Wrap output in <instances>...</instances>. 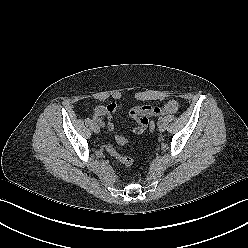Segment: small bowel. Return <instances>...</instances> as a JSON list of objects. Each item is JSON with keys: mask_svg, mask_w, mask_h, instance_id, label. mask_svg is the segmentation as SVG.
Returning <instances> with one entry per match:
<instances>
[{"mask_svg": "<svg viewBox=\"0 0 248 248\" xmlns=\"http://www.w3.org/2000/svg\"><path fill=\"white\" fill-rule=\"evenodd\" d=\"M178 105L175 101L167 102L163 107L144 105L131 109L130 117L134 119L137 124L135 126H126V128L135 134H142L149 124V119L152 116H159L161 114L173 113L177 110ZM119 109V106L115 103H110L107 106H98L95 109L94 116L99 120L103 126V118H107V128L109 131L114 129L112 122V115Z\"/></svg>", "mask_w": 248, "mask_h": 248, "instance_id": "c3829d8e", "label": "small bowel"}]
</instances>
